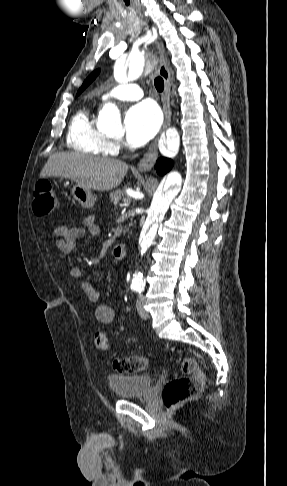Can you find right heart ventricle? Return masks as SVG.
Wrapping results in <instances>:
<instances>
[{
	"label": "right heart ventricle",
	"instance_id": "right-heart-ventricle-1",
	"mask_svg": "<svg viewBox=\"0 0 287 486\" xmlns=\"http://www.w3.org/2000/svg\"><path fill=\"white\" fill-rule=\"evenodd\" d=\"M67 144L72 150L93 156H108L113 153L108 138L93 122L88 108L79 110L71 119Z\"/></svg>",
	"mask_w": 287,
	"mask_h": 486
}]
</instances>
